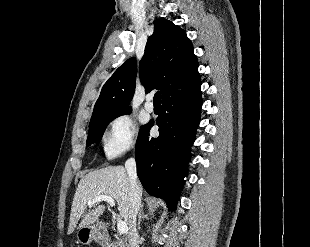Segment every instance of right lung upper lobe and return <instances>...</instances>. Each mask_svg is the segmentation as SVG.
Masks as SVG:
<instances>
[{
  "label": "right lung upper lobe",
  "instance_id": "1",
  "mask_svg": "<svg viewBox=\"0 0 310 247\" xmlns=\"http://www.w3.org/2000/svg\"><path fill=\"white\" fill-rule=\"evenodd\" d=\"M197 69L198 61L186 33L169 20L155 21L139 64L146 93L160 89L164 99L185 91L200 81ZM136 70V60L130 58L114 72L101 90L90 123L131 110L128 105L134 95Z\"/></svg>",
  "mask_w": 310,
  "mask_h": 247
}]
</instances>
